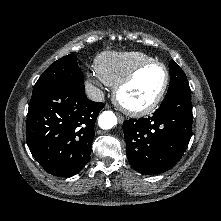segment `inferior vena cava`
<instances>
[{
    "label": "inferior vena cava",
    "mask_w": 221,
    "mask_h": 221,
    "mask_svg": "<svg viewBox=\"0 0 221 221\" xmlns=\"http://www.w3.org/2000/svg\"><path fill=\"white\" fill-rule=\"evenodd\" d=\"M86 95L90 100L101 102L104 100V93L97 87L90 85L86 89Z\"/></svg>",
    "instance_id": "1"
}]
</instances>
